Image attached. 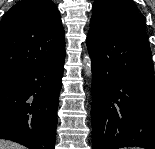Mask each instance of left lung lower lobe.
I'll list each match as a JSON object with an SVG mask.
<instances>
[{
  "instance_id": "0a47b994",
  "label": "left lung lower lobe",
  "mask_w": 155,
  "mask_h": 149,
  "mask_svg": "<svg viewBox=\"0 0 155 149\" xmlns=\"http://www.w3.org/2000/svg\"><path fill=\"white\" fill-rule=\"evenodd\" d=\"M93 149H155V78L142 23L89 30Z\"/></svg>"
}]
</instances>
